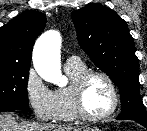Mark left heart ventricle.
Listing matches in <instances>:
<instances>
[{"label": "left heart ventricle", "instance_id": "1", "mask_svg": "<svg viewBox=\"0 0 147 131\" xmlns=\"http://www.w3.org/2000/svg\"><path fill=\"white\" fill-rule=\"evenodd\" d=\"M112 104V93L107 82L101 77H92L84 90V105L91 115L106 113Z\"/></svg>", "mask_w": 147, "mask_h": 131}]
</instances>
